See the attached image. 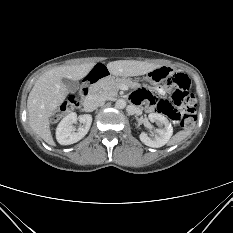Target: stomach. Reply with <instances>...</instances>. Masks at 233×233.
<instances>
[{
  "label": "stomach",
  "mask_w": 233,
  "mask_h": 233,
  "mask_svg": "<svg viewBox=\"0 0 233 233\" xmlns=\"http://www.w3.org/2000/svg\"><path fill=\"white\" fill-rule=\"evenodd\" d=\"M173 74V69L172 67L169 66H160L156 69H154L153 71L147 73V80L152 83L155 84L158 81H164L167 78H169L171 75ZM124 82L134 88L138 86V82L136 80H133L131 78H126L124 79Z\"/></svg>",
  "instance_id": "obj_1"
}]
</instances>
